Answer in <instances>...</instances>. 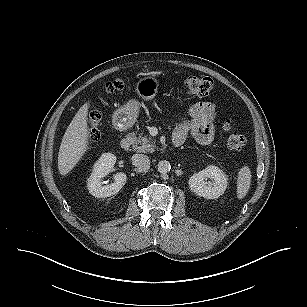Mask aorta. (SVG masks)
Segmentation results:
<instances>
[{"label": "aorta", "mask_w": 307, "mask_h": 307, "mask_svg": "<svg viewBox=\"0 0 307 307\" xmlns=\"http://www.w3.org/2000/svg\"><path fill=\"white\" fill-rule=\"evenodd\" d=\"M171 169V165L168 161L162 160L158 163V171L161 174H167Z\"/></svg>", "instance_id": "762f6f07"}]
</instances>
